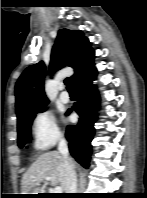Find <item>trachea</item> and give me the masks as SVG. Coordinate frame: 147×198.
<instances>
[{
    "label": "trachea",
    "mask_w": 147,
    "mask_h": 198,
    "mask_svg": "<svg viewBox=\"0 0 147 198\" xmlns=\"http://www.w3.org/2000/svg\"><path fill=\"white\" fill-rule=\"evenodd\" d=\"M64 83H65V85H66L68 91H70V92H73V91H74V87H73V85H72V82H71V79H70V78H66V79L64 80Z\"/></svg>",
    "instance_id": "obj_1"
}]
</instances>
